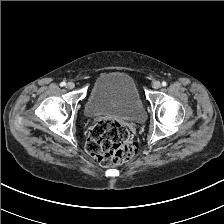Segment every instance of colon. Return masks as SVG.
<instances>
[{
	"label": "colon",
	"mask_w": 224,
	"mask_h": 224,
	"mask_svg": "<svg viewBox=\"0 0 224 224\" xmlns=\"http://www.w3.org/2000/svg\"><path fill=\"white\" fill-rule=\"evenodd\" d=\"M87 152L101 165L118 166L137 152L126 126L112 119H101L93 126L86 144Z\"/></svg>",
	"instance_id": "obj_1"
}]
</instances>
